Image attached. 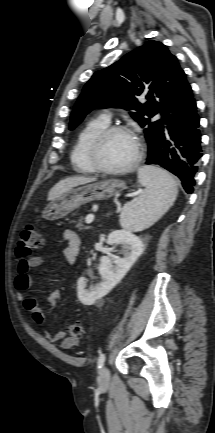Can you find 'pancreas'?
Masks as SVG:
<instances>
[{"instance_id":"1","label":"pancreas","mask_w":215,"mask_h":433,"mask_svg":"<svg viewBox=\"0 0 215 433\" xmlns=\"http://www.w3.org/2000/svg\"><path fill=\"white\" fill-rule=\"evenodd\" d=\"M76 228H78L79 230H87L88 226L83 224V218H79L76 224Z\"/></svg>"}]
</instances>
